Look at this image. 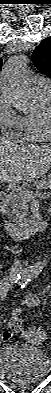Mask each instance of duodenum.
I'll return each mask as SVG.
<instances>
[{
  "label": "duodenum",
  "mask_w": 51,
  "mask_h": 393,
  "mask_svg": "<svg viewBox=\"0 0 51 393\" xmlns=\"http://www.w3.org/2000/svg\"><path fill=\"white\" fill-rule=\"evenodd\" d=\"M7 203V195L4 192H0V205L4 207ZM1 217L3 222V228L8 236L14 239L27 238L34 235L37 232H41L48 227L46 219L36 221L28 226H16L7 219V215L4 210H1Z\"/></svg>",
  "instance_id": "1"
}]
</instances>
